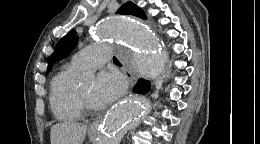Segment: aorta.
I'll use <instances>...</instances> for the list:
<instances>
[{
	"instance_id": "obj_1",
	"label": "aorta",
	"mask_w": 260,
	"mask_h": 144,
	"mask_svg": "<svg viewBox=\"0 0 260 144\" xmlns=\"http://www.w3.org/2000/svg\"><path fill=\"white\" fill-rule=\"evenodd\" d=\"M95 34L100 41L113 39L127 46V50H120L119 56L141 75L156 78L161 74L164 46L141 20L132 17L105 19L99 23ZM84 77L92 80L94 75L87 72ZM148 111L149 100L144 96H132L118 103L104 119L96 144H120L126 132L137 127Z\"/></svg>"
}]
</instances>
